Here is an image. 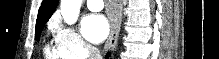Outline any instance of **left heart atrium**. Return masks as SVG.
<instances>
[{
  "mask_svg": "<svg viewBox=\"0 0 219 59\" xmlns=\"http://www.w3.org/2000/svg\"><path fill=\"white\" fill-rule=\"evenodd\" d=\"M84 37L92 43L102 42L109 33V24L106 17L102 14H88L81 23Z\"/></svg>",
  "mask_w": 219,
  "mask_h": 59,
  "instance_id": "39dd6f15",
  "label": "left heart atrium"
}]
</instances>
